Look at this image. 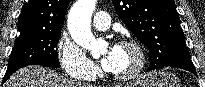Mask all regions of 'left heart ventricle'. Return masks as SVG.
I'll list each match as a JSON object with an SVG mask.
<instances>
[{"label":"left heart ventricle","mask_w":205,"mask_h":87,"mask_svg":"<svg viewBox=\"0 0 205 87\" xmlns=\"http://www.w3.org/2000/svg\"><path fill=\"white\" fill-rule=\"evenodd\" d=\"M101 55L109 56L111 60L110 72L124 74L131 71L137 64L138 57L136 52L127 47L115 46L105 47Z\"/></svg>","instance_id":"obj_1"}]
</instances>
